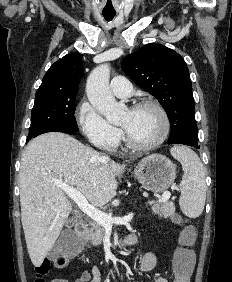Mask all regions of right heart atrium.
Instances as JSON below:
<instances>
[{"label": "right heart atrium", "instance_id": "1", "mask_svg": "<svg viewBox=\"0 0 232 282\" xmlns=\"http://www.w3.org/2000/svg\"><path fill=\"white\" fill-rule=\"evenodd\" d=\"M77 121L84 136L94 146L107 151H114L118 146L120 130L111 125L87 100H82L78 105Z\"/></svg>", "mask_w": 232, "mask_h": 282}]
</instances>
